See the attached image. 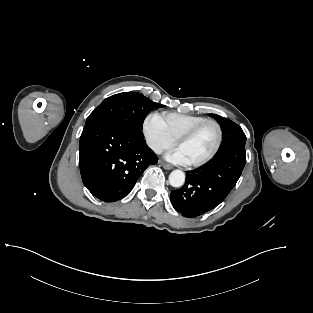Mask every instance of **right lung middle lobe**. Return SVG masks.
<instances>
[{"label":"right lung middle lobe","instance_id":"dd1d6c3e","mask_svg":"<svg viewBox=\"0 0 313 313\" xmlns=\"http://www.w3.org/2000/svg\"><path fill=\"white\" fill-rule=\"evenodd\" d=\"M163 107L137 92H124L106 98L87 118L85 127L100 121L116 123L143 137L145 116L155 108Z\"/></svg>","mask_w":313,"mask_h":313}]
</instances>
